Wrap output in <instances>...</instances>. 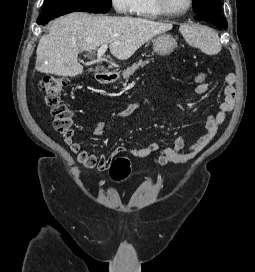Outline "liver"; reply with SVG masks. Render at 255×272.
<instances>
[{
	"mask_svg": "<svg viewBox=\"0 0 255 272\" xmlns=\"http://www.w3.org/2000/svg\"><path fill=\"white\" fill-rule=\"evenodd\" d=\"M171 29L170 23L144 18L70 13L56 19L49 34L40 38L35 67L41 73L74 77L83 72L80 51L109 44L112 55L126 60L148 40Z\"/></svg>",
	"mask_w": 255,
	"mask_h": 272,
	"instance_id": "6515ba94",
	"label": "liver"
}]
</instances>
